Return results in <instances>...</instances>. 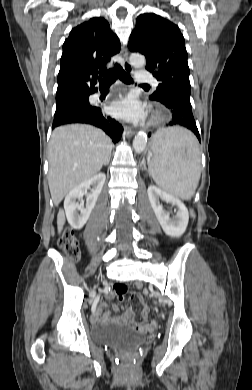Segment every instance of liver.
<instances>
[{"instance_id":"1","label":"liver","mask_w":252,"mask_h":390,"mask_svg":"<svg viewBox=\"0 0 252 390\" xmlns=\"http://www.w3.org/2000/svg\"><path fill=\"white\" fill-rule=\"evenodd\" d=\"M111 150V139L93 126L74 124L54 129L48 147V184L54 205L95 176L110 158ZM64 223V214L59 212L58 232Z\"/></svg>"}]
</instances>
